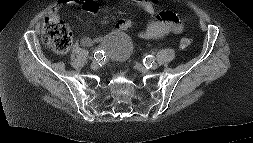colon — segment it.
<instances>
[{
	"label": "colon",
	"instance_id": "obj_1",
	"mask_svg": "<svg viewBox=\"0 0 253 143\" xmlns=\"http://www.w3.org/2000/svg\"><path fill=\"white\" fill-rule=\"evenodd\" d=\"M43 43L57 53H65L71 46L72 33L69 27L62 21L47 19L42 33ZM189 37H184L180 41L181 48H186L191 44Z\"/></svg>",
	"mask_w": 253,
	"mask_h": 143
}]
</instances>
